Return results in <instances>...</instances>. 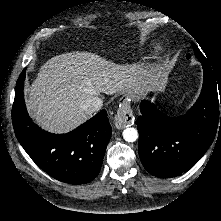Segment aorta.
<instances>
[{"mask_svg":"<svg viewBox=\"0 0 221 221\" xmlns=\"http://www.w3.org/2000/svg\"><path fill=\"white\" fill-rule=\"evenodd\" d=\"M123 138L127 142H134L138 139V132L135 128H126L123 131Z\"/></svg>","mask_w":221,"mask_h":221,"instance_id":"obj_1","label":"aorta"}]
</instances>
